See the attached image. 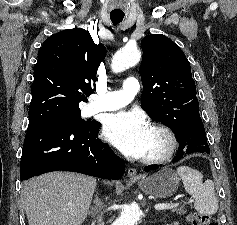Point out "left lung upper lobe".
I'll return each mask as SVG.
<instances>
[{
	"instance_id": "1",
	"label": "left lung upper lobe",
	"mask_w": 237,
	"mask_h": 225,
	"mask_svg": "<svg viewBox=\"0 0 237 225\" xmlns=\"http://www.w3.org/2000/svg\"><path fill=\"white\" fill-rule=\"evenodd\" d=\"M142 108L174 132L199 113L190 63L180 47L161 34L142 39Z\"/></svg>"
}]
</instances>
